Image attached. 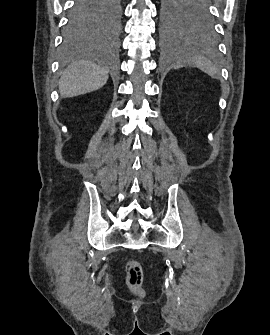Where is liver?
<instances>
[{"mask_svg":"<svg viewBox=\"0 0 270 335\" xmlns=\"http://www.w3.org/2000/svg\"><path fill=\"white\" fill-rule=\"evenodd\" d=\"M108 70L92 62H74L68 66L59 80V92L63 98H73L103 88L108 80Z\"/></svg>","mask_w":270,"mask_h":335,"instance_id":"6515ba94","label":"liver"}]
</instances>
